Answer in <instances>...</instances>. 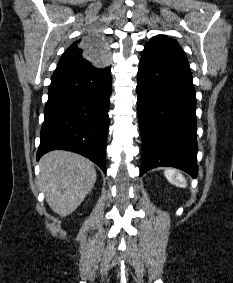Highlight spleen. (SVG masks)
<instances>
[{
	"label": "spleen",
	"mask_w": 233,
	"mask_h": 283,
	"mask_svg": "<svg viewBox=\"0 0 233 283\" xmlns=\"http://www.w3.org/2000/svg\"><path fill=\"white\" fill-rule=\"evenodd\" d=\"M164 175L167 180L172 184L180 188H185L187 186V182L184 176L175 169L168 168L164 171Z\"/></svg>",
	"instance_id": "obj_1"
}]
</instances>
